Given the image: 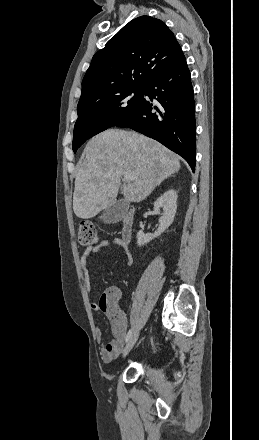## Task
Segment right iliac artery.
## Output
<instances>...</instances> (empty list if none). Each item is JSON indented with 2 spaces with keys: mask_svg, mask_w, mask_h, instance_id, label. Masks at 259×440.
<instances>
[{
  "mask_svg": "<svg viewBox=\"0 0 259 440\" xmlns=\"http://www.w3.org/2000/svg\"><path fill=\"white\" fill-rule=\"evenodd\" d=\"M131 335H132V329H130L126 335V339H125L126 342L130 339Z\"/></svg>",
  "mask_w": 259,
  "mask_h": 440,
  "instance_id": "82829eb1",
  "label": "right iliac artery"
}]
</instances>
